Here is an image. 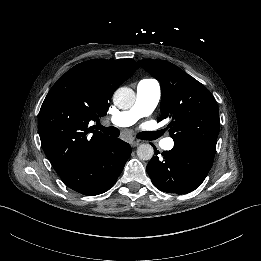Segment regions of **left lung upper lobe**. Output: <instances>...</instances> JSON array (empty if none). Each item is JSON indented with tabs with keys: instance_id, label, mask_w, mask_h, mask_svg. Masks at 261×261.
I'll return each mask as SVG.
<instances>
[{
	"instance_id": "left-lung-upper-lobe-1",
	"label": "left lung upper lobe",
	"mask_w": 261,
	"mask_h": 261,
	"mask_svg": "<svg viewBox=\"0 0 261 261\" xmlns=\"http://www.w3.org/2000/svg\"><path fill=\"white\" fill-rule=\"evenodd\" d=\"M139 64L161 84V117L172 119L174 143L197 142L216 149L219 111L211 92L176 65L164 60H140Z\"/></svg>"
}]
</instances>
